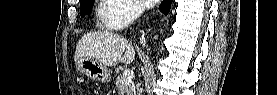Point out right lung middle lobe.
<instances>
[{
	"mask_svg": "<svg viewBox=\"0 0 277 95\" xmlns=\"http://www.w3.org/2000/svg\"><path fill=\"white\" fill-rule=\"evenodd\" d=\"M94 0H84L80 2V12H81V17L86 15L88 12L91 11L93 7Z\"/></svg>",
	"mask_w": 277,
	"mask_h": 95,
	"instance_id": "1",
	"label": "right lung middle lobe"
}]
</instances>
